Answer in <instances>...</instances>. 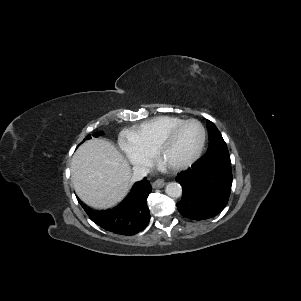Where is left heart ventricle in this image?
Segmentation results:
<instances>
[{
	"label": "left heart ventricle",
	"mask_w": 301,
	"mask_h": 301,
	"mask_svg": "<svg viewBox=\"0 0 301 301\" xmlns=\"http://www.w3.org/2000/svg\"><path fill=\"white\" fill-rule=\"evenodd\" d=\"M200 139V127L195 123L186 124L166 146L164 162L177 164L189 159L197 150Z\"/></svg>",
	"instance_id": "left-heart-ventricle-1"
}]
</instances>
